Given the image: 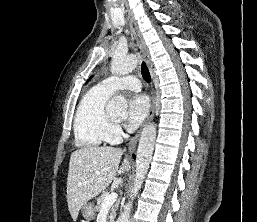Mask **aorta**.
<instances>
[{"mask_svg": "<svg viewBox=\"0 0 257 222\" xmlns=\"http://www.w3.org/2000/svg\"><path fill=\"white\" fill-rule=\"evenodd\" d=\"M137 66L135 55L122 54L116 51L111 61V72L117 75H126L132 72ZM107 111L110 113H125L127 111V102L124 96L116 95L107 105ZM156 139V125L151 123L143 128L138 144L136 154V174L131 193V201L125 206L117 222H130V211L134 198L141 189L144 177L148 172L151 158L153 155Z\"/></svg>", "mask_w": 257, "mask_h": 222, "instance_id": "obj_1", "label": "aorta"}]
</instances>
